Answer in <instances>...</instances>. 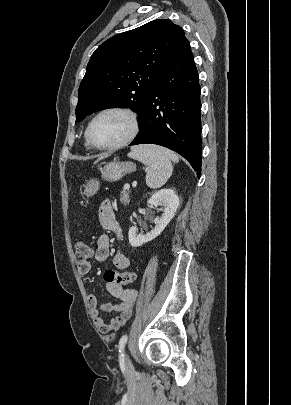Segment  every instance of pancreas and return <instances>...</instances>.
Masks as SVG:
<instances>
[{
  "instance_id": "cf45deb5",
  "label": "pancreas",
  "mask_w": 291,
  "mask_h": 405,
  "mask_svg": "<svg viewBox=\"0 0 291 405\" xmlns=\"http://www.w3.org/2000/svg\"><path fill=\"white\" fill-rule=\"evenodd\" d=\"M120 197H121V198H120V201H121L122 204H124V205L129 204V202H130V199H129L130 194H129V192L123 190V191L121 192V194H120Z\"/></svg>"
}]
</instances>
